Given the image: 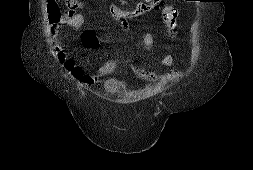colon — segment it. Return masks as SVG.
<instances>
[{
  "mask_svg": "<svg viewBox=\"0 0 253 170\" xmlns=\"http://www.w3.org/2000/svg\"><path fill=\"white\" fill-rule=\"evenodd\" d=\"M154 1V0H152ZM61 2H64L66 7H62L60 5ZM74 0H47V7H48V13L51 17V20L53 22L60 21L61 18L64 17V14L67 13L66 16H73L75 14V9L77 8V5L74 3ZM177 20V14L174 13L172 15V19Z\"/></svg>",
  "mask_w": 253,
  "mask_h": 170,
  "instance_id": "colon-1",
  "label": "colon"
}]
</instances>
